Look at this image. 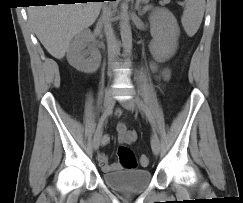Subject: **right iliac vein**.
<instances>
[{"mask_svg":"<svg viewBox=\"0 0 243 203\" xmlns=\"http://www.w3.org/2000/svg\"><path fill=\"white\" fill-rule=\"evenodd\" d=\"M113 104V91L111 89L107 90L105 97H104V107L105 111L111 107ZM100 140H101V131H98L94 135L93 139V149L97 151L100 146Z\"/></svg>","mask_w":243,"mask_h":203,"instance_id":"right-iliac-vein-1","label":"right iliac vein"}]
</instances>
